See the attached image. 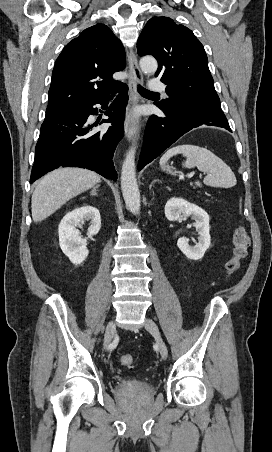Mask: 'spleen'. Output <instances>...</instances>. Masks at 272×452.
I'll return each instance as SVG.
<instances>
[{
	"label": "spleen",
	"instance_id": "3e777b00",
	"mask_svg": "<svg viewBox=\"0 0 272 452\" xmlns=\"http://www.w3.org/2000/svg\"><path fill=\"white\" fill-rule=\"evenodd\" d=\"M177 154L186 157L183 166L186 168L197 167L198 170L207 173L204 184L212 187L230 188L236 185L237 180L231 168L218 156L206 148L184 144L167 150L160 159V165L164 164ZM197 186H201L196 182Z\"/></svg>",
	"mask_w": 272,
	"mask_h": 452
}]
</instances>
